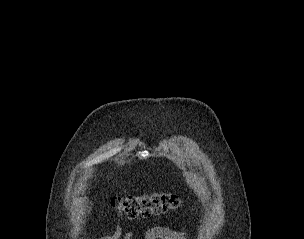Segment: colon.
Here are the masks:
<instances>
[{"label": "colon", "mask_w": 304, "mask_h": 239, "mask_svg": "<svg viewBox=\"0 0 304 239\" xmlns=\"http://www.w3.org/2000/svg\"><path fill=\"white\" fill-rule=\"evenodd\" d=\"M112 208L129 217H150L167 211L177 210L182 206V199L173 193L151 192L141 195L113 197Z\"/></svg>", "instance_id": "1"}]
</instances>
